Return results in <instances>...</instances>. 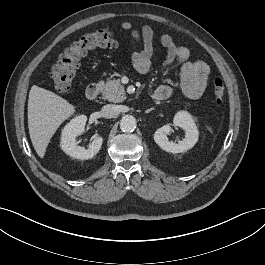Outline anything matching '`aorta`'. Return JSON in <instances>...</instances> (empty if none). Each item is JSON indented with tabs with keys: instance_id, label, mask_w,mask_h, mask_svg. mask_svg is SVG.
<instances>
[{
	"instance_id": "1",
	"label": "aorta",
	"mask_w": 265,
	"mask_h": 265,
	"mask_svg": "<svg viewBox=\"0 0 265 265\" xmlns=\"http://www.w3.org/2000/svg\"><path fill=\"white\" fill-rule=\"evenodd\" d=\"M136 119L132 115H125L120 120V129L123 132H132L136 128Z\"/></svg>"
}]
</instances>
